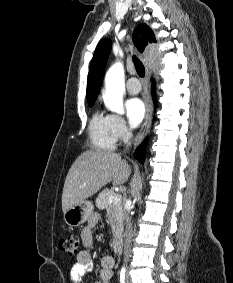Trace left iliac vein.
Segmentation results:
<instances>
[{
  "mask_svg": "<svg viewBox=\"0 0 233 283\" xmlns=\"http://www.w3.org/2000/svg\"><path fill=\"white\" fill-rule=\"evenodd\" d=\"M126 283H131L130 276L128 274L126 275Z\"/></svg>",
  "mask_w": 233,
  "mask_h": 283,
  "instance_id": "obj_1",
  "label": "left iliac vein"
}]
</instances>
